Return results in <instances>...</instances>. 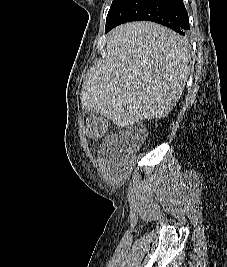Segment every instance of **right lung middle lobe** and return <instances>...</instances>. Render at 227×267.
Returning <instances> with one entry per match:
<instances>
[{
  "mask_svg": "<svg viewBox=\"0 0 227 267\" xmlns=\"http://www.w3.org/2000/svg\"><path fill=\"white\" fill-rule=\"evenodd\" d=\"M126 1L127 0H113L106 18V25H108L113 20L119 9L123 6V4Z\"/></svg>",
  "mask_w": 227,
  "mask_h": 267,
  "instance_id": "dd1d6c3e",
  "label": "right lung middle lobe"
}]
</instances>
